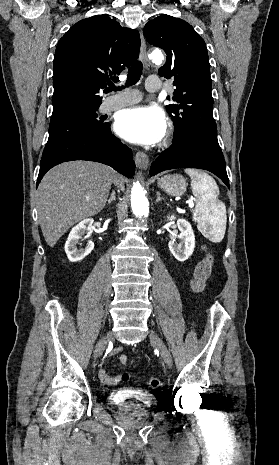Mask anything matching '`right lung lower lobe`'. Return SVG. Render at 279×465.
I'll return each instance as SVG.
<instances>
[{
  "label": "right lung lower lobe",
  "instance_id": "obj_1",
  "mask_svg": "<svg viewBox=\"0 0 279 465\" xmlns=\"http://www.w3.org/2000/svg\"><path fill=\"white\" fill-rule=\"evenodd\" d=\"M72 160L100 162L111 166L128 178L135 172L131 149L116 138L109 128L96 135L77 137L42 157L36 187L50 168Z\"/></svg>",
  "mask_w": 279,
  "mask_h": 465
}]
</instances>
